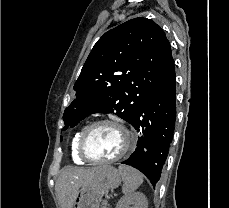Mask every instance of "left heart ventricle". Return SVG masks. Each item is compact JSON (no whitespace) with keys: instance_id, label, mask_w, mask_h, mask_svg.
I'll return each mask as SVG.
<instances>
[{"instance_id":"left-heart-ventricle-1","label":"left heart ventricle","mask_w":229,"mask_h":208,"mask_svg":"<svg viewBox=\"0 0 229 208\" xmlns=\"http://www.w3.org/2000/svg\"><path fill=\"white\" fill-rule=\"evenodd\" d=\"M128 138L123 130L113 125H103L94 129L86 140V152L91 160H111L122 152Z\"/></svg>"}]
</instances>
